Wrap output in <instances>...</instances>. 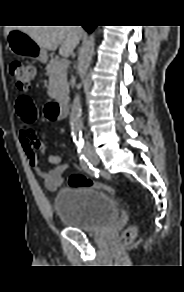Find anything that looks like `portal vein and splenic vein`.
Listing matches in <instances>:
<instances>
[{"label":"portal vein and splenic vein","instance_id":"1","mask_svg":"<svg viewBox=\"0 0 184 292\" xmlns=\"http://www.w3.org/2000/svg\"><path fill=\"white\" fill-rule=\"evenodd\" d=\"M61 63H62V65L64 66V67H67L68 66V61L66 60V59H62L61 60Z\"/></svg>","mask_w":184,"mask_h":292}]
</instances>
